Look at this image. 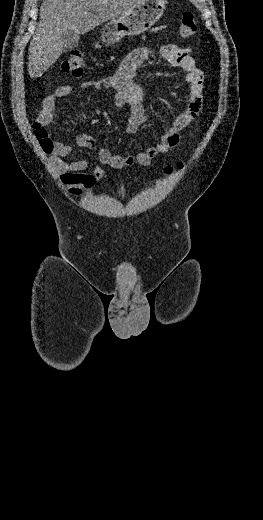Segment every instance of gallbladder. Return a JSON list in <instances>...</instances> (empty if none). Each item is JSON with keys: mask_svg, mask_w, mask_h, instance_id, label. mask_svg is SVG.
Segmentation results:
<instances>
[{"mask_svg": "<svg viewBox=\"0 0 263 520\" xmlns=\"http://www.w3.org/2000/svg\"><path fill=\"white\" fill-rule=\"evenodd\" d=\"M64 48L73 49L77 47L79 43V35L75 34L72 31L67 32L63 35Z\"/></svg>", "mask_w": 263, "mask_h": 520, "instance_id": "obj_1", "label": "gallbladder"}]
</instances>
